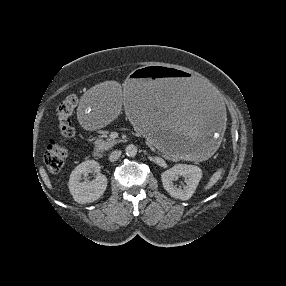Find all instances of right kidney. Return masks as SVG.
<instances>
[{
	"mask_svg": "<svg viewBox=\"0 0 286 286\" xmlns=\"http://www.w3.org/2000/svg\"><path fill=\"white\" fill-rule=\"evenodd\" d=\"M97 172L96 179L90 182H81L82 175ZM100 165L95 160H87L79 164L70 174L68 187L74 200L85 204L98 200L105 192L107 178L99 173Z\"/></svg>",
	"mask_w": 286,
	"mask_h": 286,
	"instance_id": "1",
	"label": "right kidney"
}]
</instances>
